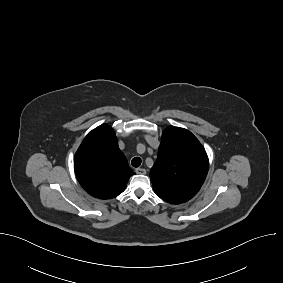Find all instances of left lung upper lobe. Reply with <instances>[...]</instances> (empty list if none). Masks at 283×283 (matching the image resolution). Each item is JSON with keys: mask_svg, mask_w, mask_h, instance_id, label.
I'll return each mask as SVG.
<instances>
[{"mask_svg": "<svg viewBox=\"0 0 283 283\" xmlns=\"http://www.w3.org/2000/svg\"><path fill=\"white\" fill-rule=\"evenodd\" d=\"M208 168V156L198 139L186 129L170 126L162 134L150 178L161 199L180 204L200 190Z\"/></svg>", "mask_w": 283, "mask_h": 283, "instance_id": "1", "label": "left lung upper lobe"}]
</instances>
